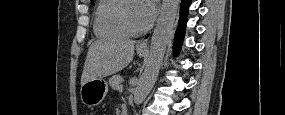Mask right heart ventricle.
Instances as JSON below:
<instances>
[{
  "mask_svg": "<svg viewBox=\"0 0 285 115\" xmlns=\"http://www.w3.org/2000/svg\"><path fill=\"white\" fill-rule=\"evenodd\" d=\"M123 0H100L94 12L93 29L96 36L117 39L128 36L116 20V13Z\"/></svg>",
  "mask_w": 285,
  "mask_h": 115,
  "instance_id": "1",
  "label": "right heart ventricle"
}]
</instances>
